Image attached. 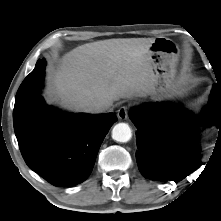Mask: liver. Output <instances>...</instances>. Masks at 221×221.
<instances>
[{
	"mask_svg": "<svg viewBox=\"0 0 221 221\" xmlns=\"http://www.w3.org/2000/svg\"><path fill=\"white\" fill-rule=\"evenodd\" d=\"M153 38L108 39L78 46L66 53L51 75L49 95L73 111L94 102L146 97L154 72L148 59Z\"/></svg>",
	"mask_w": 221,
	"mask_h": 221,
	"instance_id": "liver-1",
	"label": "liver"
}]
</instances>
